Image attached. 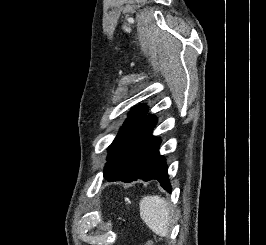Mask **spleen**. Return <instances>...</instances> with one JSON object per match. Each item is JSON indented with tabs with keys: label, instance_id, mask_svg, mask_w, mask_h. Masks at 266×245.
<instances>
[{
	"label": "spleen",
	"instance_id": "spleen-1",
	"mask_svg": "<svg viewBox=\"0 0 266 245\" xmlns=\"http://www.w3.org/2000/svg\"><path fill=\"white\" fill-rule=\"evenodd\" d=\"M139 205L140 217L147 227L159 237H167L171 219L167 201L160 195H151L143 197Z\"/></svg>",
	"mask_w": 266,
	"mask_h": 245
}]
</instances>
